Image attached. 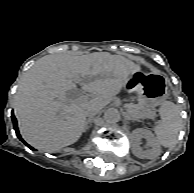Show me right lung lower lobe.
Wrapping results in <instances>:
<instances>
[{"label":"right lung lower lobe","instance_id":"1","mask_svg":"<svg viewBox=\"0 0 194 193\" xmlns=\"http://www.w3.org/2000/svg\"><path fill=\"white\" fill-rule=\"evenodd\" d=\"M12 120H13V125H14V129L16 131V134H17V137L24 142V140L21 138L20 134H19V131H18V127H17V121H16V118L14 116V113L12 112ZM26 144V146H28L31 150H34L31 146H29L26 142H24Z\"/></svg>","mask_w":194,"mask_h":193}]
</instances>
